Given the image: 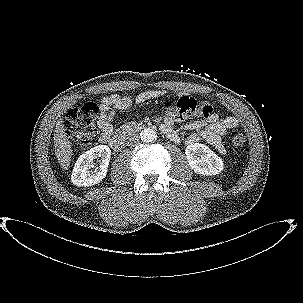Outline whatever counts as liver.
Returning <instances> with one entry per match:
<instances>
[{
  "instance_id": "liver-1",
  "label": "liver",
  "mask_w": 303,
  "mask_h": 303,
  "mask_svg": "<svg viewBox=\"0 0 303 303\" xmlns=\"http://www.w3.org/2000/svg\"><path fill=\"white\" fill-rule=\"evenodd\" d=\"M54 149L55 156L64 170H67L72 157V144L65 133L63 119L59 118L54 130Z\"/></svg>"
}]
</instances>
